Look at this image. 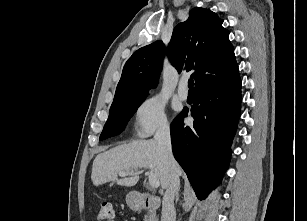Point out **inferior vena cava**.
Returning a JSON list of instances; mask_svg holds the SVG:
<instances>
[{
	"label": "inferior vena cava",
	"instance_id": "1",
	"mask_svg": "<svg viewBox=\"0 0 307 221\" xmlns=\"http://www.w3.org/2000/svg\"><path fill=\"white\" fill-rule=\"evenodd\" d=\"M154 140L164 152L169 167V183L163 197L161 221H175L176 211L174 207V198L179 191L180 180L177 173V162L172 154L169 126H160L155 133Z\"/></svg>",
	"mask_w": 307,
	"mask_h": 221
}]
</instances>
